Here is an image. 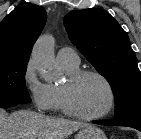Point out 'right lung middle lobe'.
I'll use <instances>...</instances> for the list:
<instances>
[{"label": "right lung middle lobe", "mask_w": 141, "mask_h": 139, "mask_svg": "<svg viewBox=\"0 0 141 139\" xmlns=\"http://www.w3.org/2000/svg\"><path fill=\"white\" fill-rule=\"evenodd\" d=\"M26 70L27 63H0V107L31 102Z\"/></svg>", "instance_id": "right-lung-middle-lobe-1"}]
</instances>
